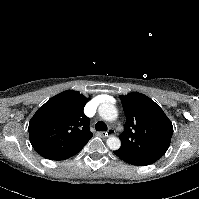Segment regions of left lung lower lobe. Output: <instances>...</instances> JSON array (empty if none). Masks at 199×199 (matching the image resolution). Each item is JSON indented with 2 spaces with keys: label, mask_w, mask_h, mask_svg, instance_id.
Wrapping results in <instances>:
<instances>
[{
  "label": "left lung lower lobe",
  "mask_w": 199,
  "mask_h": 199,
  "mask_svg": "<svg viewBox=\"0 0 199 199\" xmlns=\"http://www.w3.org/2000/svg\"><path fill=\"white\" fill-rule=\"evenodd\" d=\"M114 154H116L120 159L123 161L132 164V165H137V166H145V165H150L156 161H153L151 159H148L146 157L136 155L134 153H131L129 151H126L124 149H118L116 151H113Z\"/></svg>",
  "instance_id": "obj_1"
}]
</instances>
